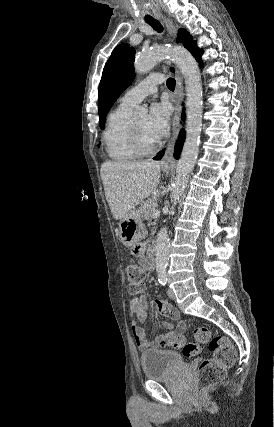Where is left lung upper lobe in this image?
<instances>
[{"label":"left lung upper lobe","instance_id":"1","mask_svg":"<svg viewBox=\"0 0 274 427\" xmlns=\"http://www.w3.org/2000/svg\"><path fill=\"white\" fill-rule=\"evenodd\" d=\"M192 36L185 29L178 30L177 42L184 43L189 51L196 46V41H191ZM135 50L129 44L118 45L112 52L103 69L99 84V124L104 129L105 116L118 98L129 86L135 77L134 73ZM173 70V69H172Z\"/></svg>","mask_w":274,"mask_h":427}]
</instances>
